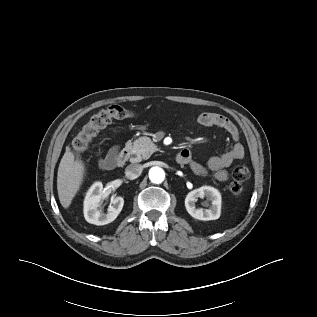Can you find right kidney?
I'll return each instance as SVG.
<instances>
[{"mask_svg": "<svg viewBox=\"0 0 317 317\" xmlns=\"http://www.w3.org/2000/svg\"><path fill=\"white\" fill-rule=\"evenodd\" d=\"M107 197L101 182H95L86 193L84 199V217L87 222L95 225H106L114 221L121 212L124 199L120 196L112 200V205L108 207V212L99 210L101 199Z\"/></svg>", "mask_w": 317, "mask_h": 317, "instance_id": "right-kidney-1", "label": "right kidney"}]
</instances>
